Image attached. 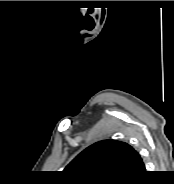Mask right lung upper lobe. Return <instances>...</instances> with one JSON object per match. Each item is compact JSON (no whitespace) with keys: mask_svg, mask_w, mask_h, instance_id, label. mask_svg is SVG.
Returning a JSON list of instances; mask_svg holds the SVG:
<instances>
[{"mask_svg":"<svg viewBox=\"0 0 174 184\" xmlns=\"http://www.w3.org/2000/svg\"><path fill=\"white\" fill-rule=\"evenodd\" d=\"M145 171L140 155L129 144L103 140L82 151L63 170L75 183H122Z\"/></svg>","mask_w":174,"mask_h":184,"instance_id":"obj_1","label":"right lung upper lobe"}]
</instances>
